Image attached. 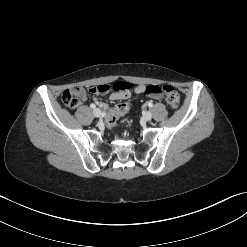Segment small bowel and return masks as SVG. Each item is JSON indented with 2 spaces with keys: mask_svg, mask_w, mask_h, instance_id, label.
<instances>
[{
  "mask_svg": "<svg viewBox=\"0 0 247 247\" xmlns=\"http://www.w3.org/2000/svg\"><path fill=\"white\" fill-rule=\"evenodd\" d=\"M129 85V82H125ZM143 86L145 84H139V85H135L134 88H129V86L125 87V88H121V89H117L114 90L112 89V92L110 93V99L112 101H119V100H127L129 99L132 94H145L146 96H148V91L147 92H143V91H138V86ZM148 86V85H147ZM152 86V85H150ZM153 86H157V85H153ZM150 98V97H149ZM83 99H85V96L83 95ZM113 110V109H112ZM128 111V110H127Z\"/></svg>",
  "mask_w": 247,
  "mask_h": 247,
  "instance_id": "c3829d8e",
  "label": "small bowel"
}]
</instances>
